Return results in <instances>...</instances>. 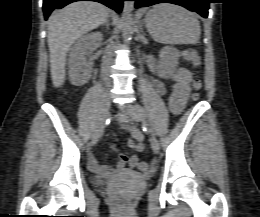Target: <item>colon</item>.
<instances>
[{
    "mask_svg": "<svg viewBox=\"0 0 260 217\" xmlns=\"http://www.w3.org/2000/svg\"><path fill=\"white\" fill-rule=\"evenodd\" d=\"M183 57L189 61L193 66H198L200 63V59L199 56L197 54L196 51L194 50H190L187 51L183 54ZM193 87L194 89H199L200 87V82L199 80H194L193 81ZM137 167V169L141 172H148L150 170V167L147 163L141 162V163H137L135 165ZM114 201L118 204V205H124L127 202V199L124 197H114Z\"/></svg>",
    "mask_w": 260,
    "mask_h": 217,
    "instance_id": "5ec220e1",
    "label": "colon"
}]
</instances>
